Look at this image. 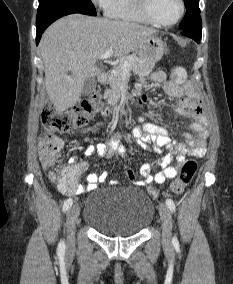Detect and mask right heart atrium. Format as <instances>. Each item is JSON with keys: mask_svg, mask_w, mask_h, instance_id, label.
<instances>
[{"mask_svg": "<svg viewBox=\"0 0 233 284\" xmlns=\"http://www.w3.org/2000/svg\"><path fill=\"white\" fill-rule=\"evenodd\" d=\"M99 8L105 9L109 0H91Z\"/></svg>", "mask_w": 233, "mask_h": 284, "instance_id": "1", "label": "right heart atrium"}]
</instances>
